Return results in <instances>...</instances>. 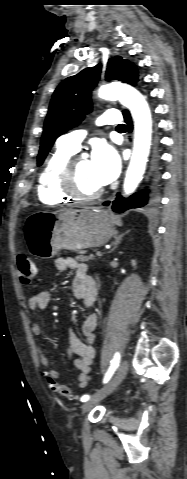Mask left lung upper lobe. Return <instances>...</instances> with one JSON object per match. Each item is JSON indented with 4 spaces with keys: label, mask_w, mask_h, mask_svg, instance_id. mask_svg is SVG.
I'll return each instance as SVG.
<instances>
[{
    "label": "left lung upper lobe",
    "mask_w": 187,
    "mask_h": 479,
    "mask_svg": "<svg viewBox=\"0 0 187 479\" xmlns=\"http://www.w3.org/2000/svg\"><path fill=\"white\" fill-rule=\"evenodd\" d=\"M101 73V65L86 68L80 73L66 78L55 90L45 120L44 131L38 154L40 166L57 137L78 125L86 114L92 111L91 90L96 86ZM106 80H119L136 85V66L121 57L110 58L105 74Z\"/></svg>",
    "instance_id": "obj_1"
}]
</instances>
